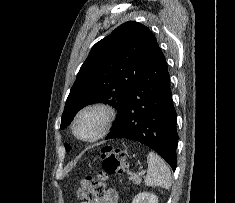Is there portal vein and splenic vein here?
Masks as SVG:
<instances>
[{
  "label": "portal vein and splenic vein",
  "instance_id": "portal-vein-and-splenic-vein-1",
  "mask_svg": "<svg viewBox=\"0 0 235 203\" xmlns=\"http://www.w3.org/2000/svg\"><path fill=\"white\" fill-rule=\"evenodd\" d=\"M144 174H145V171L139 172V176H142V175H144Z\"/></svg>",
  "mask_w": 235,
  "mask_h": 203
}]
</instances>
